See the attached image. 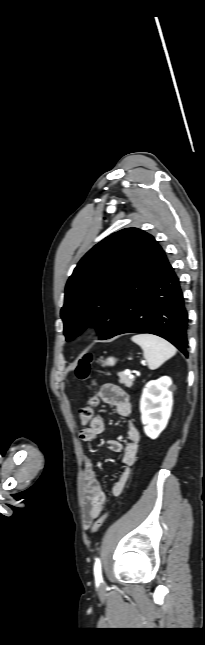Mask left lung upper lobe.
Here are the masks:
<instances>
[{
	"instance_id": "1",
	"label": "left lung upper lobe",
	"mask_w": 205,
	"mask_h": 645,
	"mask_svg": "<svg viewBox=\"0 0 205 645\" xmlns=\"http://www.w3.org/2000/svg\"><path fill=\"white\" fill-rule=\"evenodd\" d=\"M146 235L137 228L120 230L80 260L66 284L61 309L67 341L88 325L97 327L100 340L116 330L123 290Z\"/></svg>"
}]
</instances>
